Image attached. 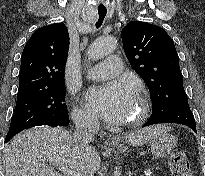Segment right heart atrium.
I'll return each instance as SVG.
<instances>
[{
    "mask_svg": "<svg viewBox=\"0 0 205 176\" xmlns=\"http://www.w3.org/2000/svg\"><path fill=\"white\" fill-rule=\"evenodd\" d=\"M76 123L82 127L93 128L97 124L95 115L84 107H76L73 112Z\"/></svg>",
    "mask_w": 205,
    "mask_h": 176,
    "instance_id": "right-heart-atrium-1",
    "label": "right heart atrium"
}]
</instances>
